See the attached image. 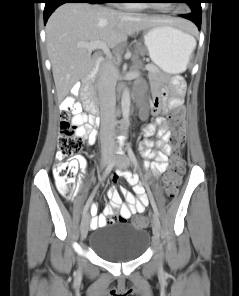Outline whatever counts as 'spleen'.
Listing matches in <instances>:
<instances>
[{
  "label": "spleen",
  "instance_id": "3e777b00",
  "mask_svg": "<svg viewBox=\"0 0 239 296\" xmlns=\"http://www.w3.org/2000/svg\"><path fill=\"white\" fill-rule=\"evenodd\" d=\"M191 44H192V47H191V52H192V50L194 49V47L196 45L195 39L193 37L191 38Z\"/></svg>",
  "mask_w": 239,
  "mask_h": 296
}]
</instances>
